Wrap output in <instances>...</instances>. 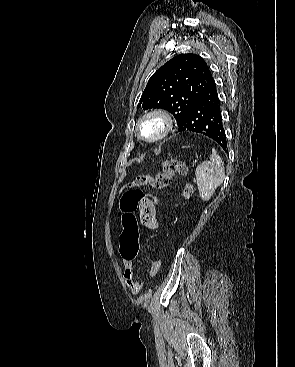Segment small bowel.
Here are the masks:
<instances>
[{"mask_svg": "<svg viewBox=\"0 0 295 367\" xmlns=\"http://www.w3.org/2000/svg\"><path fill=\"white\" fill-rule=\"evenodd\" d=\"M152 201L148 197H143L139 207V217L141 223L148 229L155 230L158 228L157 212ZM120 254L122 257V263L124 268V278L131 293L138 295L144 289L145 284L134 280V266L133 257H126L122 252V245L120 244ZM159 267L155 269L153 266L150 268V275L155 276L158 273Z\"/></svg>", "mask_w": 295, "mask_h": 367, "instance_id": "obj_1", "label": "small bowel"}]
</instances>
